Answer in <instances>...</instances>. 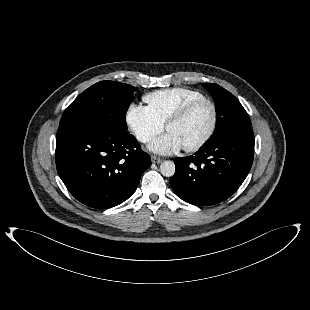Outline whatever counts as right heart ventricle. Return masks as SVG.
<instances>
[{
  "instance_id": "right-heart-ventricle-1",
  "label": "right heart ventricle",
  "mask_w": 310,
  "mask_h": 310,
  "mask_svg": "<svg viewBox=\"0 0 310 310\" xmlns=\"http://www.w3.org/2000/svg\"><path fill=\"white\" fill-rule=\"evenodd\" d=\"M199 91L188 88H169L146 94L143 101L151 115L162 125L188 102L203 98Z\"/></svg>"
}]
</instances>
